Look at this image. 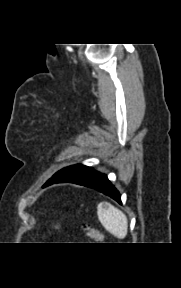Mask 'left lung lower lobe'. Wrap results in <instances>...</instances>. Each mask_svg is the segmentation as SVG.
Instances as JSON below:
<instances>
[{
    "mask_svg": "<svg viewBox=\"0 0 181 288\" xmlns=\"http://www.w3.org/2000/svg\"><path fill=\"white\" fill-rule=\"evenodd\" d=\"M54 183H57V182L48 181L45 183L43 187L49 186ZM76 184L96 189L102 192L103 194L110 196L119 204H122L121 195L119 191L111 184L107 176L103 173L96 171L94 174L88 176L87 178L81 180L80 182Z\"/></svg>",
    "mask_w": 181,
    "mask_h": 288,
    "instance_id": "1",
    "label": "left lung lower lobe"
}]
</instances>
